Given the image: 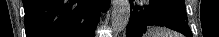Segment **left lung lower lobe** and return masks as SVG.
I'll use <instances>...</instances> for the list:
<instances>
[{"mask_svg":"<svg viewBox=\"0 0 219 37\" xmlns=\"http://www.w3.org/2000/svg\"><path fill=\"white\" fill-rule=\"evenodd\" d=\"M151 4L142 10L133 6L131 0L130 20L126 29V37H141L152 25L165 26L181 32L186 37H193L186 19L178 10L170 5L150 0Z\"/></svg>","mask_w":219,"mask_h":37,"instance_id":"0a47b994","label":"left lung lower lobe"}]
</instances>
